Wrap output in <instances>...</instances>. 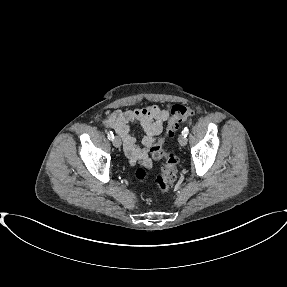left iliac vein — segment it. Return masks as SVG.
<instances>
[{"mask_svg":"<svg viewBox=\"0 0 287 287\" xmlns=\"http://www.w3.org/2000/svg\"><path fill=\"white\" fill-rule=\"evenodd\" d=\"M178 141L181 146H185L187 144V139L183 134L179 136Z\"/></svg>","mask_w":287,"mask_h":287,"instance_id":"obj_1","label":"left iliac vein"}]
</instances>
